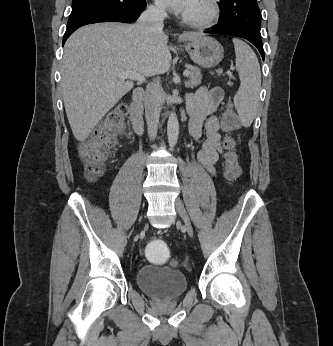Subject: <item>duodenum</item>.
I'll use <instances>...</instances> for the list:
<instances>
[{"label": "duodenum", "mask_w": 333, "mask_h": 346, "mask_svg": "<svg viewBox=\"0 0 333 346\" xmlns=\"http://www.w3.org/2000/svg\"><path fill=\"white\" fill-rule=\"evenodd\" d=\"M144 98V90L136 88L131 97L130 102V122L135 133L140 134L143 131V108L142 101Z\"/></svg>", "instance_id": "1"}]
</instances>
